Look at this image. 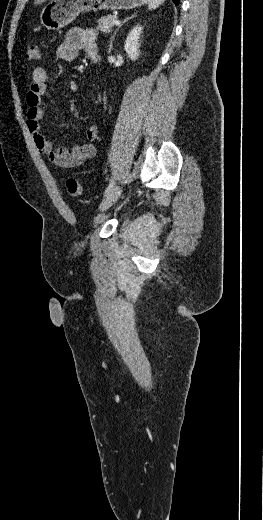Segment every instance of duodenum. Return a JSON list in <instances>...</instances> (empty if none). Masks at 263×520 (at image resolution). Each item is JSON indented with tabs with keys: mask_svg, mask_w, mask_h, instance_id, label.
<instances>
[{
	"mask_svg": "<svg viewBox=\"0 0 263 520\" xmlns=\"http://www.w3.org/2000/svg\"><path fill=\"white\" fill-rule=\"evenodd\" d=\"M90 58H91V60H92L93 62H97V60H98V55H97V54H92V55L90 56Z\"/></svg>",
	"mask_w": 263,
	"mask_h": 520,
	"instance_id": "obj_1",
	"label": "duodenum"
}]
</instances>
